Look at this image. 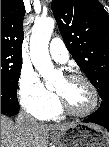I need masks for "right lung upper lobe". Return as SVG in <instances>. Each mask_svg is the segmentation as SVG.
<instances>
[{"label":"right lung upper lobe","instance_id":"1","mask_svg":"<svg viewBox=\"0 0 109 147\" xmlns=\"http://www.w3.org/2000/svg\"><path fill=\"white\" fill-rule=\"evenodd\" d=\"M24 15L23 0H1V49L21 54Z\"/></svg>","mask_w":109,"mask_h":147}]
</instances>
